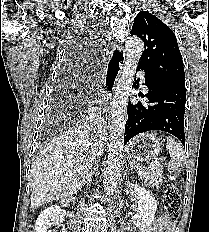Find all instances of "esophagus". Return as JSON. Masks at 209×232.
<instances>
[{
    "label": "esophagus",
    "mask_w": 209,
    "mask_h": 232,
    "mask_svg": "<svg viewBox=\"0 0 209 232\" xmlns=\"http://www.w3.org/2000/svg\"><path fill=\"white\" fill-rule=\"evenodd\" d=\"M125 57L126 55H125L124 48L114 43L112 45V51H111L107 69H106V73H108V76L110 77V82L106 86L111 91L114 90L116 82L119 78V75L121 74L122 68L125 63ZM104 112H106L107 114L109 112V109L105 108Z\"/></svg>",
    "instance_id": "1"
}]
</instances>
